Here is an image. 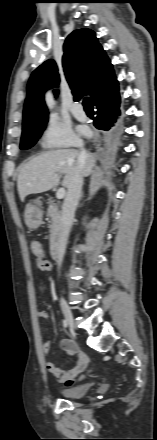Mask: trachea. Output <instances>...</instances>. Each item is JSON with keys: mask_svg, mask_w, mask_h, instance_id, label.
Masks as SVG:
<instances>
[{"mask_svg": "<svg viewBox=\"0 0 157 440\" xmlns=\"http://www.w3.org/2000/svg\"><path fill=\"white\" fill-rule=\"evenodd\" d=\"M84 109L87 113L91 114L93 113V103L91 99L85 98L83 101Z\"/></svg>", "mask_w": 157, "mask_h": 440, "instance_id": "3493384b", "label": "trachea"}]
</instances>
